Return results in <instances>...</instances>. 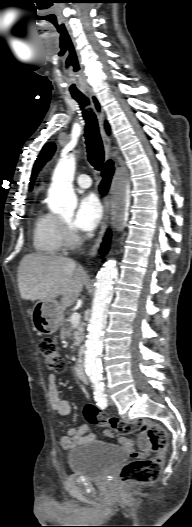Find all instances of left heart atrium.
<instances>
[{
	"label": "left heart atrium",
	"mask_w": 192,
	"mask_h": 527,
	"mask_svg": "<svg viewBox=\"0 0 192 527\" xmlns=\"http://www.w3.org/2000/svg\"><path fill=\"white\" fill-rule=\"evenodd\" d=\"M102 218V206L94 194H87L79 202L72 226L82 232L92 231Z\"/></svg>",
	"instance_id": "obj_1"
}]
</instances>
